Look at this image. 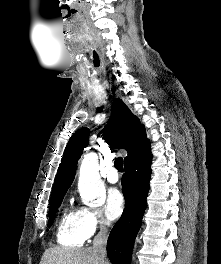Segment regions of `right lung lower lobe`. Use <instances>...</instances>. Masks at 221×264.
<instances>
[{"label": "right lung lower lobe", "mask_w": 221, "mask_h": 264, "mask_svg": "<svg viewBox=\"0 0 221 264\" xmlns=\"http://www.w3.org/2000/svg\"><path fill=\"white\" fill-rule=\"evenodd\" d=\"M151 160L152 156L125 165V174L121 181L125 210L112 228L107 241V255L112 264L131 262L134 240L147 207Z\"/></svg>", "instance_id": "obj_1"}]
</instances>
